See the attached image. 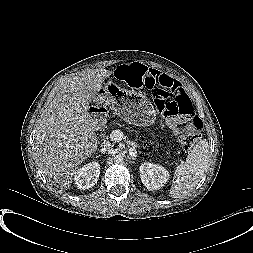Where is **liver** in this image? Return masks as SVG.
<instances>
[{
    "label": "liver",
    "mask_w": 253,
    "mask_h": 253,
    "mask_svg": "<svg viewBox=\"0 0 253 253\" xmlns=\"http://www.w3.org/2000/svg\"><path fill=\"white\" fill-rule=\"evenodd\" d=\"M110 74L105 69L77 72L60 84L41 115L34 140L36 160L43 173L62 188L71 186L74 173L96 150L89 104Z\"/></svg>",
    "instance_id": "6515ba94"
}]
</instances>
